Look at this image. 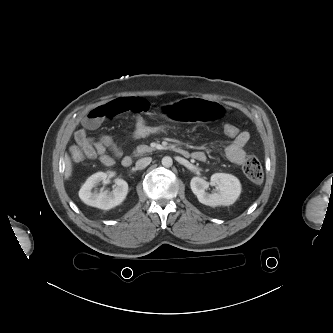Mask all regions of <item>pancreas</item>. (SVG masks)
I'll use <instances>...</instances> for the list:
<instances>
[{
  "mask_svg": "<svg viewBox=\"0 0 333 333\" xmlns=\"http://www.w3.org/2000/svg\"><path fill=\"white\" fill-rule=\"evenodd\" d=\"M149 151H151V148L148 147L147 145H139V146H137V148L134 151V153L136 155H141V154H143L145 152H149Z\"/></svg>",
  "mask_w": 333,
  "mask_h": 333,
  "instance_id": "pancreas-1",
  "label": "pancreas"
}]
</instances>
